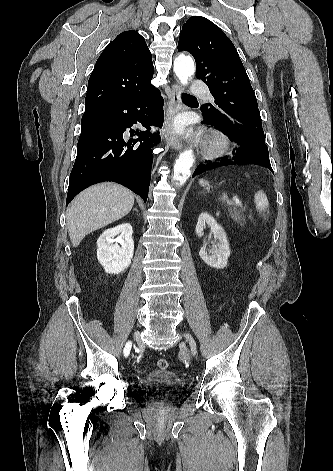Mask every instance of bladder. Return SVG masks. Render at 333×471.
Segmentation results:
<instances>
[{"label":"bladder","mask_w":333,"mask_h":471,"mask_svg":"<svg viewBox=\"0 0 333 471\" xmlns=\"http://www.w3.org/2000/svg\"><path fill=\"white\" fill-rule=\"evenodd\" d=\"M184 380L171 370H154L136 384V394L145 399L171 400L184 389Z\"/></svg>","instance_id":"obj_1"}]
</instances>
